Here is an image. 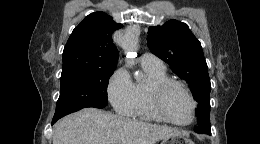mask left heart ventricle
Wrapping results in <instances>:
<instances>
[{
    "label": "left heart ventricle",
    "mask_w": 260,
    "mask_h": 144,
    "mask_svg": "<svg viewBox=\"0 0 260 144\" xmlns=\"http://www.w3.org/2000/svg\"><path fill=\"white\" fill-rule=\"evenodd\" d=\"M163 106L167 115L177 122H187L191 118V101L180 88H173L167 93Z\"/></svg>",
    "instance_id": "b2bd125f"
}]
</instances>
